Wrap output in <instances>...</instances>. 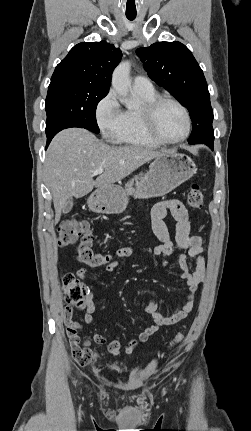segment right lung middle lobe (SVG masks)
<instances>
[{
	"instance_id": "1",
	"label": "right lung middle lobe",
	"mask_w": 251,
	"mask_h": 431,
	"mask_svg": "<svg viewBox=\"0 0 251 431\" xmlns=\"http://www.w3.org/2000/svg\"><path fill=\"white\" fill-rule=\"evenodd\" d=\"M108 91L70 78L51 80L45 101L46 134L69 127L98 134L96 107Z\"/></svg>"
}]
</instances>
